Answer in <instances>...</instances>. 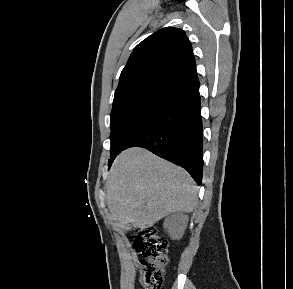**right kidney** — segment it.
Returning <instances> with one entry per match:
<instances>
[{
	"label": "right kidney",
	"mask_w": 293,
	"mask_h": 289,
	"mask_svg": "<svg viewBox=\"0 0 293 289\" xmlns=\"http://www.w3.org/2000/svg\"><path fill=\"white\" fill-rule=\"evenodd\" d=\"M188 222V217L183 214H174L166 219L164 227L168 230L169 234L174 239L182 237Z\"/></svg>",
	"instance_id": "right-kidney-1"
}]
</instances>
